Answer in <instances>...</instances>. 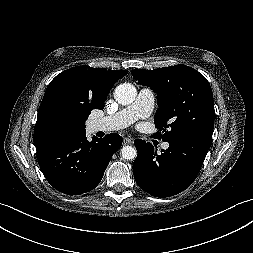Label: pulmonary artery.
<instances>
[{
  "instance_id": "obj_1",
  "label": "pulmonary artery",
  "mask_w": 253,
  "mask_h": 253,
  "mask_svg": "<svg viewBox=\"0 0 253 253\" xmlns=\"http://www.w3.org/2000/svg\"><path fill=\"white\" fill-rule=\"evenodd\" d=\"M154 94L149 88H142L134 102L118 112L93 121L94 131H115L126 128L139 119L147 118L154 108ZM169 144L164 142L161 148L168 149Z\"/></svg>"
}]
</instances>
